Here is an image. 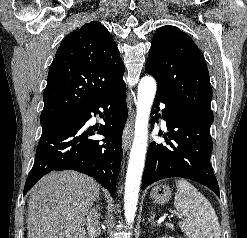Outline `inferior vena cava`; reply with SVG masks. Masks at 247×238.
<instances>
[{
  "mask_svg": "<svg viewBox=\"0 0 247 238\" xmlns=\"http://www.w3.org/2000/svg\"><path fill=\"white\" fill-rule=\"evenodd\" d=\"M100 215L97 213L95 209H92L87 218V226L89 230H94L96 233H100Z\"/></svg>",
  "mask_w": 247,
  "mask_h": 238,
  "instance_id": "1",
  "label": "inferior vena cava"
}]
</instances>
